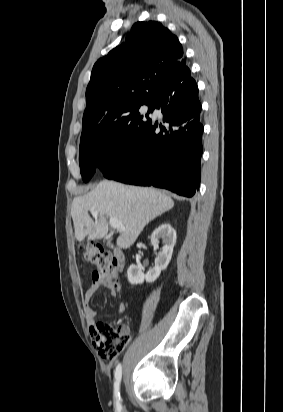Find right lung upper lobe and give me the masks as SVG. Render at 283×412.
<instances>
[{"mask_svg":"<svg viewBox=\"0 0 283 412\" xmlns=\"http://www.w3.org/2000/svg\"><path fill=\"white\" fill-rule=\"evenodd\" d=\"M189 76L175 35L155 21L134 24L125 43L93 67L81 138L107 131L135 106L156 103L166 88Z\"/></svg>","mask_w":283,"mask_h":412,"instance_id":"obj_1","label":"right lung upper lobe"}]
</instances>
